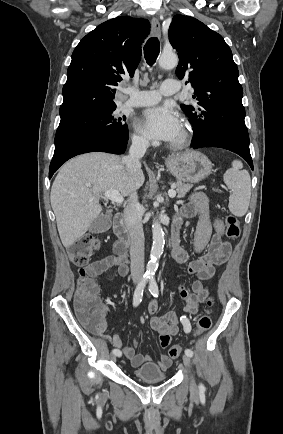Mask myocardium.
Instances as JSON below:
<instances>
[{
  "instance_id": "myocardium-1",
  "label": "myocardium",
  "mask_w": 283,
  "mask_h": 434,
  "mask_svg": "<svg viewBox=\"0 0 283 434\" xmlns=\"http://www.w3.org/2000/svg\"><path fill=\"white\" fill-rule=\"evenodd\" d=\"M191 140V129L186 122H183L181 127V134L178 139L171 142L170 147L172 149H182L186 147Z\"/></svg>"
}]
</instances>
